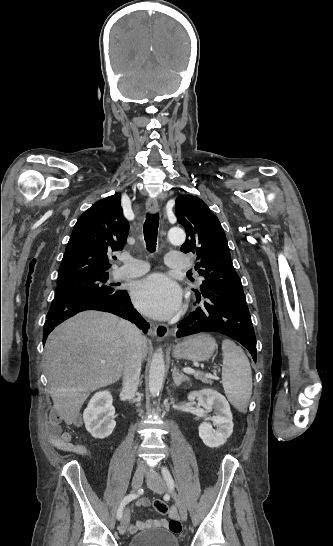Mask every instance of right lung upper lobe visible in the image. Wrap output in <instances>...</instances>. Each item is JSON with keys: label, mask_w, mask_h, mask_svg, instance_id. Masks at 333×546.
<instances>
[{"label": "right lung upper lobe", "mask_w": 333, "mask_h": 546, "mask_svg": "<svg viewBox=\"0 0 333 546\" xmlns=\"http://www.w3.org/2000/svg\"><path fill=\"white\" fill-rule=\"evenodd\" d=\"M120 195L94 203L77 220L67 244L58 279L107 273L110 254L126 244L129 224L123 216Z\"/></svg>", "instance_id": "cb5924a9"}]
</instances>
